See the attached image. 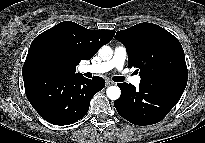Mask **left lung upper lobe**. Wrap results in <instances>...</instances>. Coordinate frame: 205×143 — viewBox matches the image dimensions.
Masks as SVG:
<instances>
[{
    "label": "left lung upper lobe",
    "mask_w": 205,
    "mask_h": 143,
    "mask_svg": "<svg viewBox=\"0 0 205 143\" xmlns=\"http://www.w3.org/2000/svg\"><path fill=\"white\" fill-rule=\"evenodd\" d=\"M115 38L125 45L128 66L140 70L141 80L176 74L188 76L180 42L162 27L139 23L118 31Z\"/></svg>",
    "instance_id": "5c2ea615"
}]
</instances>
